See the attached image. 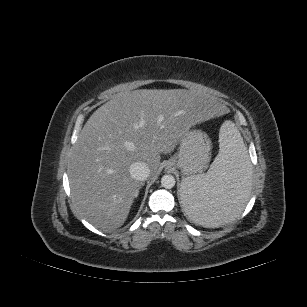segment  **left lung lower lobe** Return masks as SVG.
<instances>
[{
	"instance_id": "left-lung-lower-lobe-1",
	"label": "left lung lower lobe",
	"mask_w": 307,
	"mask_h": 307,
	"mask_svg": "<svg viewBox=\"0 0 307 307\" xmlns=\"http://www.w3.org/2000/svg\"><path fill=\"white\" fill-rule=\"evenodd\" d=\"M238 207H239V202L237 201L235 195H230L222 202L220 208L217 211L221 215L229 216L235 213Z\"/></svg>"
}]
</instances>
